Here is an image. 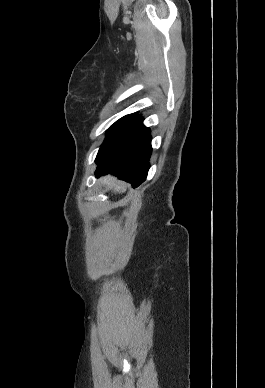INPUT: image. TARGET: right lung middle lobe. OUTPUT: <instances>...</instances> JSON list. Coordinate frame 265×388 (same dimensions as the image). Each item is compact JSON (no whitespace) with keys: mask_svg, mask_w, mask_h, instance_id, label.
<instances>
[{"mask_svg":"<svg viewBox=\"0 0 265 388\" xmlns=\"http://www.w3.org/2000/svg\"><path fill=\"white\" fill-rule=\"evenodd\" d=\"M136 116V113L126 115L116 121L108 130L107 136L105 138V141L109 140L111 137H113L117 132H119L124 126H126L130 121H132ZM104 141V142H105Z\"/></svg>","mask_w":265,"mask_h":388,"instance_id":"obj_1","label":"right lung middle lobe"}]
</instances>
